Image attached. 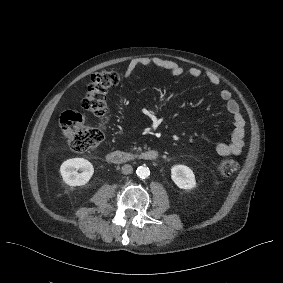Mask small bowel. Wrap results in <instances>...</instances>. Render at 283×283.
Here are the masks:
<instances>
[{"label": "small bowel", "mask_w": 283, "mask_h": 283, "mask_svg": "<svg viewBox=\"0 0 283 283\" xmlns=\"http://www.w3.org/2000/svg\"><path fill=\"white\" fill-rule=\"evenodd\" d=\"M144 67L161 68L175 76H179L184 73V68L175 61L164 59L162 57H139L132 59L128 63L125 70V77L128 78L136 69ZM188 73L194 78L202 76L201 70L196 67H191L188 70ZM205 77L213 85H218L220 83L219 77L214 74L206 73ZM220 97L225 102L228 113L233 117L234 129L231 140L229 142L218 143L216 145V152L220 156L239 155L244 146L246 122L240 111L238 103L232 98L229 90H221Z\"/></svg>", "instance_id": "1"}]
</instances>
